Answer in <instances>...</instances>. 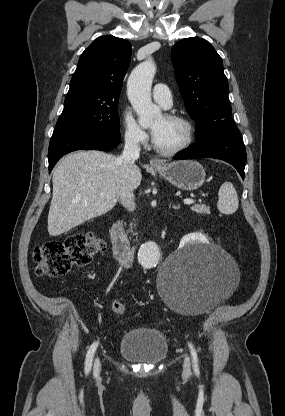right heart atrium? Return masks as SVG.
<instances>
[{"label":"right heart atrium","mask_w":285,"mask_h":416,"mask_svg":"<svg viewBox=\"0 0 285 416\" xmlns=\"http://www.w3.org/2000/svg\"><path fill=\"white\" fill-rule=\"evenodd\" d=\"M123 127L125 139L135 146H144L148 142V135L145 129L136 121L129 110L123 112Z\"/></svg>","instance_id":"right-heart-atrium-1"}]
</instances>
